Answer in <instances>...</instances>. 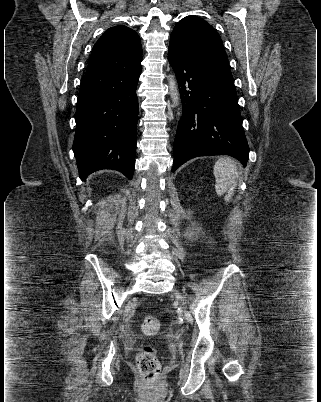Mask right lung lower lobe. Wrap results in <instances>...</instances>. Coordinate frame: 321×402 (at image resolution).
<instances>
[{
  "instance_id": "98d812e1",
  "label": "right lung lower lobe",
  "mask_w": 321,
  "mask_h": 402,
  "mask_svg": "<svg viewBox=\"0 0 321 402\" xmlns=\"http://www.w3.org/2000/svg\"><path fill=\"white\" fill-rule=\"evenodd\" d=\"M140 74L141 68L82 77L73 143L81 179L101 169L117 170L132 179Z\"/></svg>"
}]
</instances>
